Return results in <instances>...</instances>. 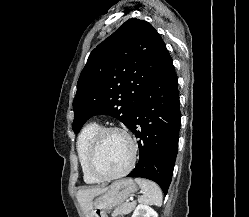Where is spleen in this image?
Masks as SVG:
<instances>
[{"label": "spleen", "instance_id": "obj_1", "mask_svg": "<svg viewBox=\"0 0 249 217\" xmlns=\"http://www.w3.org/2000/svg\"><path fill=\"white\" fill-rule=\"evenodd\" d=\"M135 181L143 190V195L138 199L140 203L162 205V191L155 182L143 178H135Z\"/></svg>", "mask_w": 249, "mask_h": 217}]
</instances>
